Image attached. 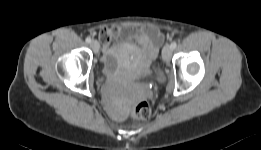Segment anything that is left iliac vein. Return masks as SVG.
Segmentation results:
<instances>
[{
    "label": "left iliac vein",
    "instance_id": "obj_1",
    "mask_svg": "<svg viewBox=\"0 0 261 150\" xmlns=\"http://www.w3.org/2000/svg\"><path fill=\"white\" fill-rule=\"evenodd\" d=\"M172 56V48L169 45H165L162 50V58L163 60L168 63L170 62Z\"/></svg>",
    "mask_w": 261,
    "mask_h": 150
}]
</instances>
